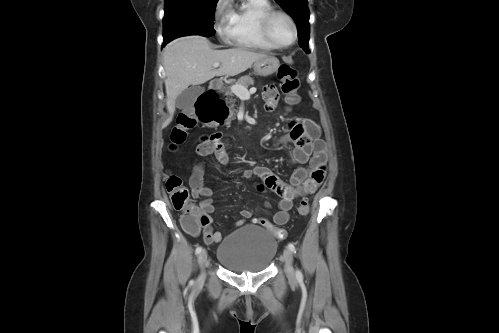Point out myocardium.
<instances>
[{
    "label": "myocardium",
    "mask_w": 499,
    "mask_h": 333,
    "mask_svg": "<svg viewBox=\"0 0 499 333\" xmlns=\"http://www.w3.org/2000/svg\"><path fill=\"white\" fill-rule=\"evenodd\" d=\"M276 16H283L284 18H286L292 27V40L288 44L281 45L277 43L274 37L272 36L270 27L273 19ZM261 30L267 41L277 49H286L291 47L296 42L298 36L297 25L293 17L286 11L279 9H271L263 15L261 19Z\"/></svg>",
    "instance_id": "myocardium-1"
}]
</instances>
